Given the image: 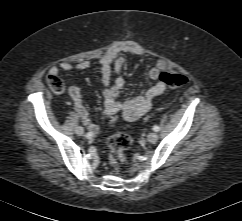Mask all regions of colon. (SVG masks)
<instances>
[{
  "label": "colon",
  "mask_w": 242,
  "mask_h": 221,
  "mask_svg": "<svg viewBox=\"0 0 242 221\" xmlns=\"http://www.w3.org/2000/svg\"><path fill=\"white\" fill-rule=\"evenodd\" d=\"M159 80L170 88H179L185 86L189 79L184 74L162 72L159 75ZM47 83L50 89L61 94L64 91V83L57 74H50L47 78ZM133 144L132 137L123 132H118L111 135L108 139L109 147V163L115 169H121L127 162L126 150Z\"/></svg>",
  "instance_id": "1"
}]
</instances>
